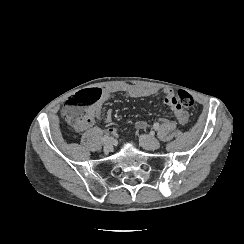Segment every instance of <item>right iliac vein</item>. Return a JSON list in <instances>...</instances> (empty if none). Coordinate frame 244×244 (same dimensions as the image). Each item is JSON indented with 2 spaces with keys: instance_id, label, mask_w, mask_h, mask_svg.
I'll return each mask as SVG.
<instances>
[{
  "instance_id": "obj_1",
  "label": "right iliac vein",
  "mask_w": 244,
  "mask_h": 244,
  "mask_svg": "<svg viewBox=\"0 0 244 244\" xmlns=\"http://www.w3.org/2000/svg\"><path fill=\"white\" fill-rule=\"evenodd\" d=\"M114 147V140L112 138H109L105 143H104V150L105 151H111Z\"/></svg>"
}]
</instances>
